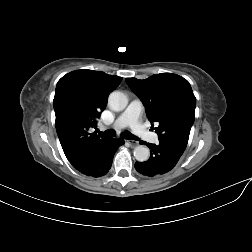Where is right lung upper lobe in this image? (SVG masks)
I'll use <instances>...</instances> for the list:
<instances>
[{
    "label": "right lung upper lobe",
    "mask_w": 252,
    "mask_h": 252,
    "mask_svg": "<svg viewBox=\"0 0 252 252\" xmlns=\"http://www.w3.org/2000/svg\"><path fill=\"white\" fill-rule=\"evenodd\" d=\"M121 80L122 77L101 71L82 69L58 81L53 100L55 125L63 151L72 165L108 139L88 130L96 125V118L107 105L108 95Z\"/></svg>",
    "instance_id": "obj_1"
}]
</instances>
